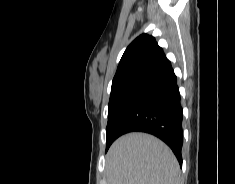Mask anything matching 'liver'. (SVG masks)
<instances>
[{
    "label": "liver",
    "mask_w": 235,
    "mask_h": 184,
    "mask_svg": "<svg viewBox=\"0 0 235 184\" xmlns=\"http://www.w3.org/2000/svg\"><path fill=\"white\" fill-rule=\"evenodd\" d=\"M108 184H181L179 164L170 148L141 132L118 138L106 156Z\"/></svg>",
    "instance_id": "1"
}]
</instances>
